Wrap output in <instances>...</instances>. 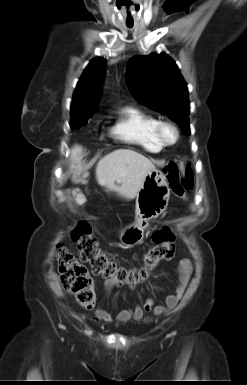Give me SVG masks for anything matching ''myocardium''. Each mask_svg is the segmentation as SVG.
Instances as JSON below:
<instances>
[{
    "label": "myocardium",
    "instance_id": "obj_1",
    "mask_svg": "<svg viewBox=\"0 0 247 385\" xmlns=\"http://www.w3.org/2000/svg\"><path fill=\"white\" fill-rule=\"evenodd\" d=\"M167 131H171L173 133V138L171 140L166 137ZM155 136L163 147H170L178 142L180 134L177 126L172 122L159 121L155 127Z\"/></svg>",
    "mask_w": 247,
    "mask_h": 385
}]
</instances>
